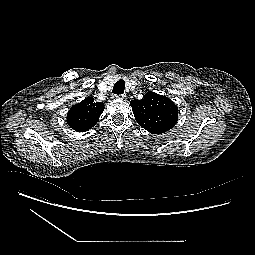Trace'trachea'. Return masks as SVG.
<instances>
[{
  "mask_svg": "<svg viewBox=\"0 0 255 255\" xmlns=\"http://www.w3.org/2000/svg\"><path fill=\"white\" fill-rule=\"evenodd\" d=\"M125 89V81L124 80H119L115 83L112 92L117 95H121L124 93Z\"/></svg>",
  "mask_w": 255,
  "mask_h": 255,
  "instance_id": "obj_1",
  "label": "trachea"
}]
</instances>
